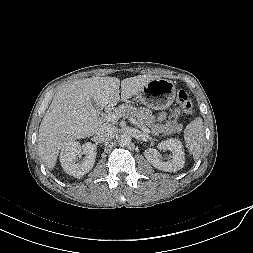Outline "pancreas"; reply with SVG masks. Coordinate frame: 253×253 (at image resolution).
<instances>
[{
    "label": "pancreas",
    "mask_w": 253,
    "mask_h": 253,
    "mask_svg": "<svg viewBox=\"0 0 253 253\" xmlns=\"http://www.w3.org/2000/svg\"><path fill=\"white\" fill-rule=\"evenodd\" d=\"M121 117H134L137 122L151 129L153 135L164 133L167 135L180 133L182 130V124H178L176 121L167 122L164 125L155 124V116L152 115V111L145 107H134L131 104H122L115 109Z\"/></svg>",
    "instance_id": "obj_1"
}]
</instances>
